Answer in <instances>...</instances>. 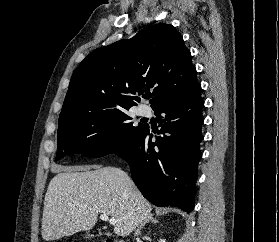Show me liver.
Wrapping results in <instances>:
<instances>
[{
	"label": "liver",
	"instance_id": "1",
	"mask_svg": "<svg viewBox=\"0 0 279 242\" xmlns=\"http://www.w3.org/2000/svg\"><path fill=\"white\" fill-rule=\"evenodd\" d=\"M151 211V204L119 168L60 167L45 194L42 238L52 241L90 230L99 213L115 218L114 233L126 237Z\"/></svg>",
	"mask_w": 279,
	"mask_h": 242
}]
</instances>
